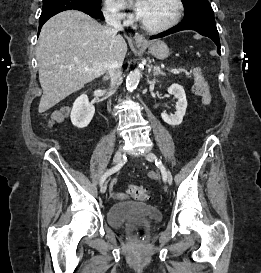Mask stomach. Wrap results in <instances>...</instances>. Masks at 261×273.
Returning <instances> with one entry per match:
<instances>
[{"label": "stomach", "instance_id": "1", "mask_svg": "<svg viewBox=\"0 0 261 273\" xmlns=\"http://www.w3.org/2000/svg\"><path fill=\"white\" fill-rule=\"evenodd\" d=\"M138 47L142 45L140 43L137 44ZM149 53L152 54L157 59H166L169 55L168 46L162 41H154L147 44Z\"/></svg>", "mask_w": 261, "mask_h": 273}]
</instances>
